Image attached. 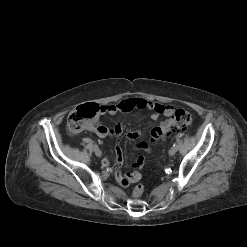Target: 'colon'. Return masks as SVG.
I'll return each instance as SVG.
<instances>
[{"instance_id":"colon-1","label":"colon","mask_w":247,"mask_h":247,"mask_svg":"<svg viewBox=\"0 0 247 247\" xmlns=\"http://www.w3.org/2000/svg\"><path fill=\"white\" fill-rule=\"evenodd\" d=\"M101 107L97 104H83L70 112L67 119L68 131L71 134H78L83 130L94 125ZM193 122L190 112L177 109L174 115L151 132V140L157 141L160 138L171 135L172 133L186 130ZM144 191L143 185H137L133 191L134 196H140Z\"/></svg>"}]
</instances>
